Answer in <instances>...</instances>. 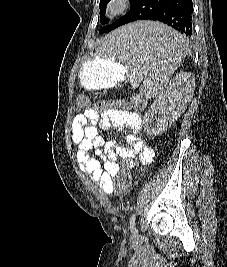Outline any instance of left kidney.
I'll use <instances>...</instances> for the list:
<instances>
[{
    "label": "left kidney",
    "mask_w": 227,
    "mask_h": 267,
    "mask_svg": "<svg viewBox=\"0 0 227 267\" xmlns=\"http://www.w3.org/2000/svg\"><path fill=\"white\" fill-rule=\"evenodd\" d=\"M194 89L195 77L192 73L182 72L176 75L145 114L144 131L151 136L165 132L186 110Z\"/></svg>",
    "instance_id": "1"
}]
</instances>
